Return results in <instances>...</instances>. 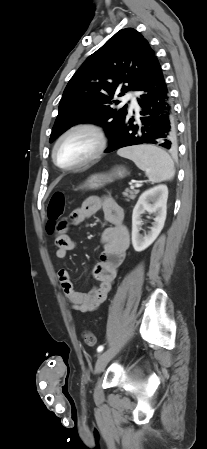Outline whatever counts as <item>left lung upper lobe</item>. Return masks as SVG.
Here are the masks:
<instances>
[{
    "label": "left lung upper lobe",
    "instance_id": "1",
    "mask_svg": "<svg viewBox=\"0 0 207 449\" xmlns=\"http://www.w3.org/2000/svg\"><path fill=\"white\" fill-rule=\"evenodd\" d=\"M157 61L142 34L132 28L118 31L70 79L60 100L50 142L82 122L102 126L112 141L128 115L126 106L111 107L118 103L113 97L123 96L126 90L138 91Z\"/></svg>",
    "mask_w": 207,
    "mask_h": 449
}]
</instances>
